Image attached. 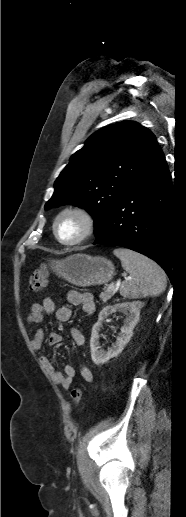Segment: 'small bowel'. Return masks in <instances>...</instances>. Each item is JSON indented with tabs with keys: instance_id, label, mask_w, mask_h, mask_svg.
Wrapping results in <instances>:
<instances>
[{
	"instance_id": "c3829d8e",
	"label": "small bowel",
	"mask_w": 186,
	"mask_h": 517,
	"mask_svg": "<svg viewBox=\"0 0 186 517\" xmlns=\"http://www.w3.org/2000/svg\"><path fill=\"white\" fill-rule=\"evenodd\" d=\"M66 301L75 306H81L82 312L86 315H91L95 311V302L93 299V295L91 293H78V292H68L66 294ZM55 313L56 319L59 322H67L72 317V310L67 306H62L60 308H56V303L53 298L45 297L41 303H35L31 306L30 313L27 317V322L29 324H39L43 321L45 314ZM71 337L73 343L76 346H81L84 343V335L77 328L71 329ZM44 341V331L41 328H38L32 337V347L40 351L43 346ZM62 341V336L57 332H51L48 336V344L49 345H57ZM40 363L45 371L49 374L52 381L59 385L62 389L68 390L72 384L73 378L75 377L76 371L74 366L71 364H67L64 367L63 371H60L55 368L52 360L47 355L40 356ZM81 377L82 379L89 383L93 379V374L91 370L86 367H81Z\"/></svg>"
}]
</instances>
